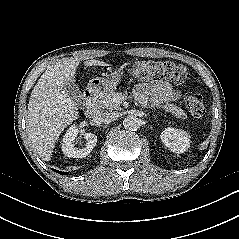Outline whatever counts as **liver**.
<instances>
[{
    "label": "liver",
    "instance_id": "1",
    "mask_svg": "<svg viewBox=\"0 0 239 239\" xmlns=\"http://www.w3.org/2000/svg\"><path fill=\"white\" fill-rule=\"evenodd\" d=\"M79 59L69 58L50 66L38 79L28 103L27 131L31 143L44 161H50L62 131L78 117L77 104L65 84L75 81ZM88 66H107L100 60H86Z\"/></svg>",
    "mask_w": 239,
    "mask_h": 239
}]
</instances>
